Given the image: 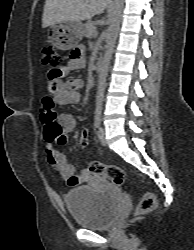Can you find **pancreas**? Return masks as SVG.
<instances>
[{"label":"pancreas","mask_w":194,"mask_h":250,"mask_svg":"<svg viewBox=\"0 0 194 250\" xmlns=\"http://www.w3.org/2000/svg\"><path fill=\"white\" fill-rule=\"evenodd\" d=\"M95 22L88 20L84 25V35L87 38H91L94 36V32L96 31Z\"/></svg>","instance_id":"cf45deb5"}]
</instances>
